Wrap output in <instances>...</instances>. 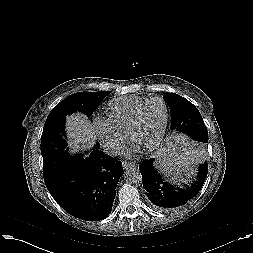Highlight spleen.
Wrapping results in <instances>:
<instances>
[{
  "label": "spleen",
  "instance_id": "spleen-1",
  "mask_svg": "<svg viewBox=\"0 0 253 253\" xmlns=\"http://www.w3.org/2000/svg\"><path fill=\"white\" fill-rule=\"evenodd\" d=\"M206 167L204 152L188 134L176 133L164 143L159 173L169 185L179 189L193 187Z\"/></svg>",
  "mask_w": 253,
  "mask_h": 253
}]
</instances>
